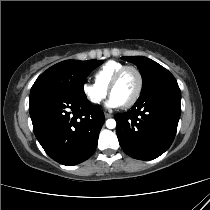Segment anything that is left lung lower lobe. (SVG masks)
Listing matches in <instances>:
<instances>
[{"instance_id": "obj_1", "label": "left lung lower lobe", "mask_w": 210, "mask_h": 210, "mask_svg": "<svg viewBox=\"0 0 210 210\" xmlns=\"http://www.w3.org/2000/svg\"><path fill=\"white\" fill-rule=\"evenodd\" d=\"M181 113L177 83L158 87L139 97L131 110L114 115L123 151L139 160H152L172 144Z\"/></svg>"}]
</instances>
